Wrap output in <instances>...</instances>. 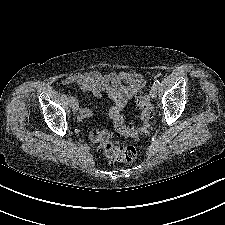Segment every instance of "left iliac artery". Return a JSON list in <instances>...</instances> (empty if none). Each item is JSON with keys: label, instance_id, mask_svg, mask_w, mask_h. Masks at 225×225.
<instances>
[{"label": "left iliac artery", "instance_id": "left-iliac-artery-1", "mask_svg": "<svg viewBox=\"0 0 225 225\" xmlns=\"http://www.w3.org/2000/svg\"><path fill=\"white\" fill-rule=\"evenodd\" d=\"M153 86L158 88L160 86V81L159 80H155Z\"/></svg>", "mask_w": 225, "mask_h": 225}]
</instances>
